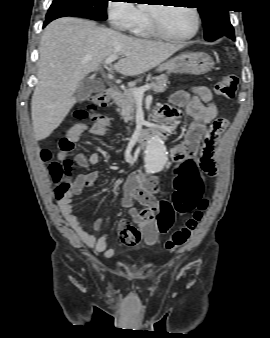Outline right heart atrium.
Listing matches in <instances>:
<instances>
[{
	"mask_svg": "<svg viewBox=\"0 0 270 338\" xmlns=\"http://www.w3.org/2000/svg\"><path fill=\"white\" fill-rule=\"evenodd\" d=\"M108 14L112 25L121 30H127L132 25L142 21L141 12L128 0L111 4L108 8Z\"/></svg>",
	"mask_w": 270,
	"mask_h": 338,
	"instance_id": "right-heart-atrium-1",
	"label": "right heart atrium"
}]
</instances>
